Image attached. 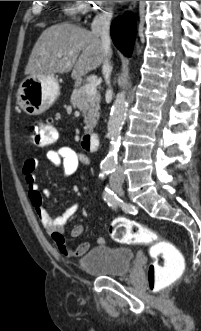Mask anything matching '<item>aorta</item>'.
Returning a JSON list of instances; mask_svg holds the SVG:
<instances>
[{"label":"aorta","instance_id":"aorta-1","mask_svg":"<svg viewBox=\"0 0 201 331\" xmlns=\"http://www.w3.org/2000/svg\"><path fill=\"white\" fill-rule=\"evenodd\" d=\"M127 112V101L125 91L118 93L111 108L110 117L107 123L110 147L107 156L101 163V172L105 175L116 168L118 150L121 141V129L124 124Z\"/></svg>","mask_w":201,"mask_h":331}]
</instances>
